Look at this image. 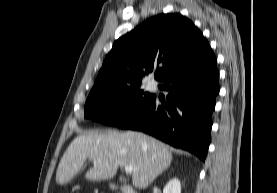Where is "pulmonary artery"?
Returning a JSON list of instances; mask_svg holds the SVG:
<instances>
[{
    "label": "pulmonary artery",
    "mask_w": 277,
    "mask_h": 193,
    "mask_svg": "<svg viewBox=\"0 0 277 193\" xmlns=\"http://www.w3.org/2000/svg\"><path fill=\"white\" fill-rule=\"evenodd\" d=\"M154 87H155V86H154V84H152V83L148 85V88H149V89H153Z\"/></svg>",
    "instance_id": "pulmonary-artery-1"
}]
</instances>
